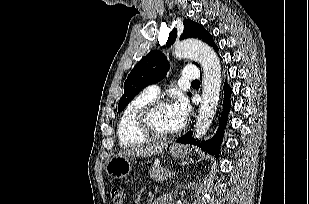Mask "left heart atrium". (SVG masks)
Listing matches in <instances>:
<instances>
[{"label": "left heart atrium", "instance_id": "left-heart-atrium-1", "mask_svg": "<svg viewBox=\"0 0 309 204\" xmlns=\"http://www.w3.org/2000/svg\"><path fill=\"white\" fill-rule=\"evenodd\" d=\"M170 106L175 117L177 128H181L189 117L190 105L184 97L179 96Z\"/></svg>", "mask_w": 309, "mask_h": 204}]
</instances>
